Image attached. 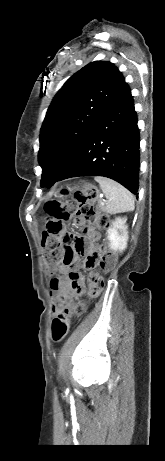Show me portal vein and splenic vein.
Segmentation results:
<instances>
[{
  "label": "portal vein and splenic vein",
  "mask_w": 165,
  "mask_h": 461,
  "mask_svg": "<svg viewBox=\"0 0 165 461\" xmlns=\"http://www.w3.org/2000/svg\"><path fill=\"white\" fill-rule=\"evenodd\" d=\"M104 202H105V200L101 201L100 203L103 205V204H104Z\"/></svg>",
  "instance_id": "portal-vein-and-splenic-vein-1"
}]
</instances>
